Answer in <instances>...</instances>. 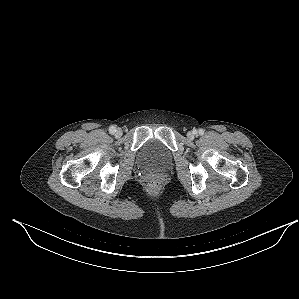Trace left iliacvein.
<instances>
[{"label": "left iliac vein", "mask_w": 299, "mask_h": 299, "mask_svg": "<svg viewBox=\"0 0 299 299\" xmlns=\"http://www.w3.org/2000/svg\"><path fill=\"white\" fill-rule=\"evenodd\" d=\"M194 136H195V132L194 131H190L187 133V137L188 139L190 140H193L194 139Z\"/></svg>", "instance_id": "left-iliac-vein-1"}]
</instances>
